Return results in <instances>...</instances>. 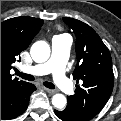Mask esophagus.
<instances>
[{"mask_svg": "<svg viewBox=\"0 0 121 121\" xmlns=\"http://www.w3.org/2000/svg\"><path fill=\"white\" fill-rule=\"evenodd\" d=\"M44 90H45L46 92H48L49 94H54V93H55L54 90L49 89V88H46V87H44Z\"/></svg>", "mask_w": 121, "mask_h": 121, "instance_id": "obj_1", "label": "esophagus"}]
</instances>
